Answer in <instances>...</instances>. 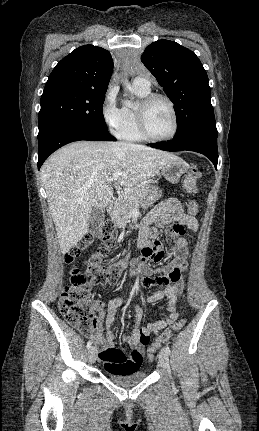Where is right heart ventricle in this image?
Returning a JSON list of instances; mask_svg holds the SVG:
<instances>
[{"mask_svg":"<svg viewBox=\"0 0 259 431\" xmlns=\"http://www.w3.org/2000/svg\"><path fill=\"white\" fill-rule=\"evenodd\" d=\"M132 91L140 98L145 97L150 93L149 90H143L136 87H132ZM124 120L118 129L116 135L125 141L129 142H143L146 139L141 135L138 130L136 115H135V107L124 106L123 107Z\"/></svg>","mask_w":259,"mask_h":431,"instance_id":"1","label":"right heart ventricle"}]
</instances>
